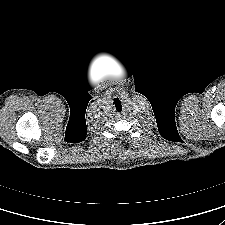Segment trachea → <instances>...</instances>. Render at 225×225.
Wrapping results in <instances>:
<instances>
[{
	"mask_svg": "<svg viewBox=\"0 0 225 225\" xmlns=\"http://www.w3.org/2000/svg\"><path fill=\"white\" fill-rule=\"evenodd\" d=\"M115 107H116V110H117L118 112H121V111H122V105H121L120 102L117 103V104H115Z\"/></svg>",
	"mask_w": 225,
	"mask_h": 225,
	"instance_id": "obj_1",
	"label": "trachea"
}]
</instances>
